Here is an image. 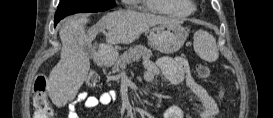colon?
<instances>
[{"mask_svg":"<svg viewBox=\"0 0 273 118\" xmlns=\"http://www.w3.org/2000/svg\"><path fill=\"white\" fill-rule=\"evenodd\" d=\"M196 72L201 78H208L211 75V69L203 64L196 67ZM99 76L95 72H90L86 78V85L90 88L98 84ZM33 99L35 105L36 118H53L54 112L50 106L47 95V79L44 76H37L33 83Z\"/></svg>","mask_w":273,"mask_h":118,"instance_id":"colon-1","label":"colon"}]
</instances>
